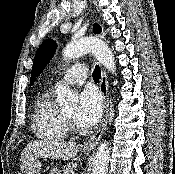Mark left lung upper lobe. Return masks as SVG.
<instances>
[{"label":"left lung upper lobe","instance_id":"left-lung-upper-lobe-1","mask_svg":"<svg viewBox=\"0 0 175 174\" xmlns=\"http://www.w3.org/2000/svg\"><path fill=\"white\" fill-rule=\"evenodd\" d=\"M93 30L96 33H100L101 27L99 25H95L93 27ZM56 48H57V44L53 39H48L44 41L43 44H41L34 58L32 73L30 78V85L34 83L35 78L42 72L46 63L52 58V56L56 51Z\"/></svg>","mask_w":175,"mask_h":174}]
</instances>
